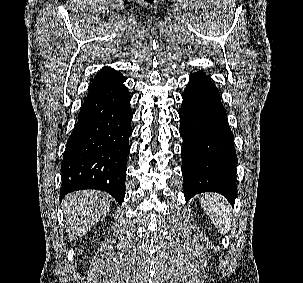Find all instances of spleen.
I'll return each mask as SVG.
<instances>
[{
    "instance_id": "obj_1",
    "label": "spleen",
    "mask_w": 303,
    "mask_h": 283,
    "mask_svg": "<svg viewBox=\"0 0 303 283\" xmlns=\"http://www.w3.org/2000/svg\"><path fill=\"white\" fill-rule=\"evenodd\" d=\"M200 204L215 228L221 234L227 233L232 222V215L226 199L219 194L210 193L201 198Z\"/></svg>"
}]
</instances>
